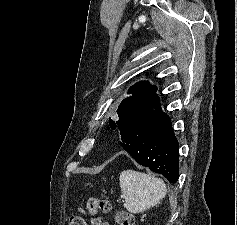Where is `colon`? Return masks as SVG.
<instances>
[{
	"instance_id": "5ec220e1",
	"label": "colon",
	"mask_w": 237,
	"mask_h": 225,
	"mask_svg": "<svg viewBox=\"0 0 237 225\" xmlns=\"http://www.w3.org/2000/svg\"><path fill=\"white\" fill-rule=\"evenodd\" d=\"M86 209L91 215L98 212L109 213L112 210L110 202L98 198H90L86 203ZM115 219L118 225H134L133 217L123 210H118L115 214ZM68 225H86L83 217L72 215L69 218Z\"/></svg>"
}]
</instances>
